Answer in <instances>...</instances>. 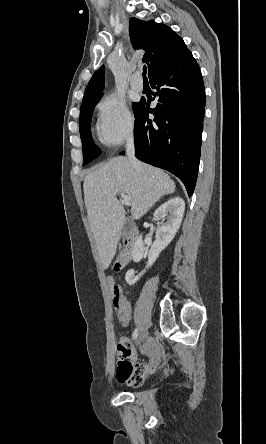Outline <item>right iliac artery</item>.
<instances>
[{"label": "right iliac artery", "mask_w": 266, "mask_h": 444, "mask_svg": "<svg viewBox=\"0 0 266 444\" xmlns=\"http://www.w3.org/2000/svg\"><path fill=\"white\" fill-rule=\"evenodd\" d=\"M138 337V329H134L133 334H132V339L135 341Z\"/></svg>", "instance_id": "right-iliac-artery-1"}]
</instances>
